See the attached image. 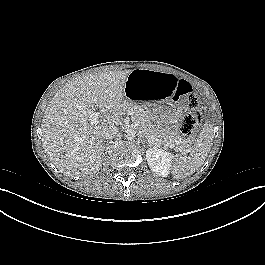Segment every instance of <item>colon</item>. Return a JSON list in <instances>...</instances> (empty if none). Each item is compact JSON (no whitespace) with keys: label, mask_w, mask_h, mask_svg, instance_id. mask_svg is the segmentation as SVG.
Instances as JSON below:
<instances>
[{"label":"colon","mask_w":265,"mask_h":265,"mask_svg":"<svg viewBox=\"0 0 265 265\" xmlns=\"http://www.w3.org/2000/svg\"><path fill=\"white\" fill-rule=\"evenodd\" d=\"M175 100H185L190 106L197 107L199 104L197 95L193 87L184 80L176 82L175 86ZM201 114L197 110L188 113L181 122V132L184 135H191L195 133L201 125Z\"/></svg>","instance_id":"obj_1"}]
</instances>
